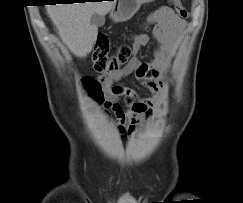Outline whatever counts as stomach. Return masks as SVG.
Returning <instances> with one entry per match:
<instances>
[{"instance_id": "0dacf381", "label": "stomach", "mask_w": 243, "mask_h": 203, "mask_svg": "<svg viewBox=\"0 0 243 203\" xmlns=\"http://www.w3.org/2000/svg\"><path fill=\"white\" fill-rule=\"evenodd\" d=\"M154 0H118L116 6L110 12V18L114 22H124L133 17L144 3L153 2Z\"/></svg>"}]
</instances>
